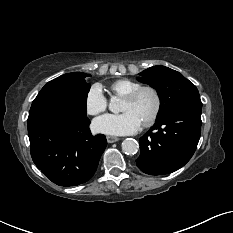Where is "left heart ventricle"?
Segmentation results:
<instances>
[{"mask_svg": "<svg viewBox=\"0 0 233 233\" xmlns=\"http://www.w3.org/2000/svg\"><path fill=\"white\" fill-rule=\"evenodd\" d=\"M155 106V98L152 92L143 91L134 101L123 99L121 111H132L142 123L151 115Z\"/></svg>", "mask_w": 233, "mask_h": 233, "instance_id": "1", "label": "left heart ventricle"}]
</instances>
